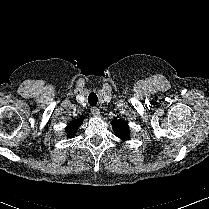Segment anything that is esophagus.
<instances>
[{"label": "esophagus", "mask_w": 209, "mask_h": 209, "mask_svg": "<svg viewBox=\"0 0 209 209\" xmlns=\"http://www.w3.org/2000/svg\"><path fill=\"white\" fill-rule=\"evenodd\" d=\"M91 113L93 114V116L98 117L100 115V110L97 107H92Z\"/></svg>", "instance_id": "obj_1"}]
</instances>
